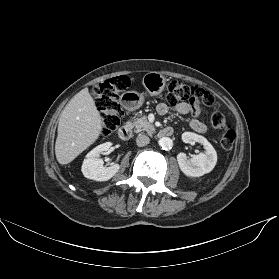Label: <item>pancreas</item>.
I'll use <instances>...</instances> for the list:
<instances>
[{"label": "pancreas", "mask_w": 279, "mask_h": 279, "mask_svg": "<svg viewBox=\"0 0 279 279\" xmlns=\"http://www.w3.org/2000/svg\"><path fill=\"white\" fill-rule=\"evenodd\" d=\"M130 127H134L136 132L146 131L148 134H152L155 130L145 115L134 119V121L130 123Z\"/></svg>", "instance_id": "obj_1"}]
</instances>
